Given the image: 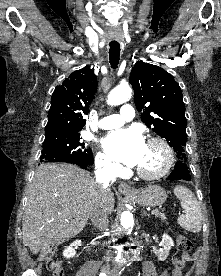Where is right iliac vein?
I'll list each match as a JSON object with an SVG mask.
<instances>
[{"label": "right iliac vein", "instance_id": "1", "mask_svg": "<svg viewBox=\"0 0 221 276\" xmlns=\"http://www.w3.org/2000/svg\"><path fill=\"white\" fill-rule=\"evenodd\" d=\"M103 271L109 272V268H108V267H104V268H103Z\"/></svg>", "mask_w": 221, "mask_h": 276}]
</instances>
